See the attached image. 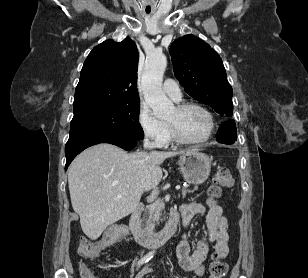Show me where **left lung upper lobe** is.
<instances>
[{"label": "left lung upper lobe", "instance_id": "5c2ea615", "mask_svg": "<svg viewBox=\"0 0 308 278\" xmlns=\"http://www.w3.org/2000/svg\"><path fill=\"white\" fill-rule=\"evenodd\" d=\"M170 55L175 76L191 97L232 116L233 90L220 56L209 44L186 35L172 43Z\"/></svg>", "mask_w": 308, "mask_h": 278}]
</instances>
